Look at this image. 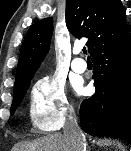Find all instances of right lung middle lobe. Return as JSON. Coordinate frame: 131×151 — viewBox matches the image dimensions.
I'll list each match as a JSON object with an SVG mask.
<instances>
[{
  "mask_svg": "<svg viewBox=\"0 0 131 151\" xmlns=\"http://www.w3.org/2000/svg\"><path fill=\"white\" fill-rule=\"evenodd\" d=\"M30 85V82L18 89L13 90V102H12V107H11V114L14 113L16 108L20 105L21 101L23 100L26 91L28 90Z\"/></svg>",
  "mask_w": 131,
  "mask_h": 151,
  "instance_id": "right-lung-middle-lobe-1",
  "label": "right lung middle lobe"
}]
</instances>
